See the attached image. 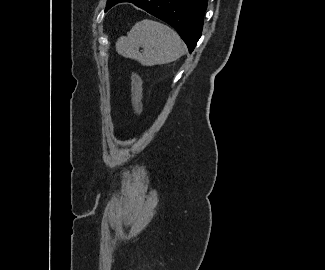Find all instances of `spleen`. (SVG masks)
Here are the masks:
<instances>
[{
    "instance_id": "3e777b00",
    "label": "spleen",
    "mask_w": 325,
    "mask_h": 270,
    "mask_svg": "<svg viewBox=\"0 0 325 270\" xmlns=\"http://www.w3.org/2000/svg\"><path fill=\"white\" fill-rule=\"evenodd\" d=\"M140 47L144 49L142 53ZM116 51L126 58L137 60L141 65L154 66L177 60L184 54L185 47L172 28L144 19L117 40Z\"/></svg>"
}]
</instances>
